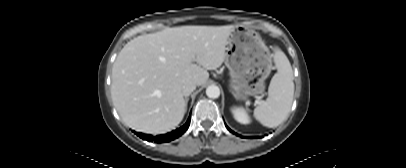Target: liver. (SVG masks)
<instances>
[{"instance_id": "6515ba94", "label": "liver", "mask_w": 406, "mask_h": 168, "mask_svg": "<svg viewBox=\"0 0 406 168\" xmlns=\"http://www.w3.org/2000/svg\"><path fill=\"white\" fill-rule=\"evenodd\" d=\"M233 25L181 26L141 35L119 52L112 67L111 95L122 121L144 133L176 127L186 112L182 86H201L207 70L225 59Z\"/></svg>"}]
</instances>
